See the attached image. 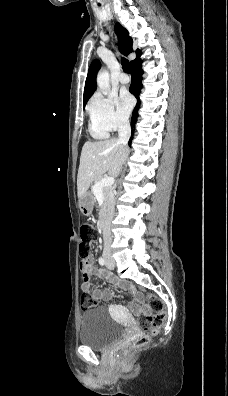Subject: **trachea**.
Returning a JSON list of instances; mask_svg holds the SVG:
<instances>
[{
    "instance_id": "obj_1",
    "label": "trachea",
    "mask_w": 228,
    "mask_h": 396,
    "mask_svg": "<svg viewBox=\"0 0 228 396\" xmlns=\"http://www.w3.org/2000/svg\"><path fill=\"white\" fill-rule=\"evenodd\" d=\"M121 63H122V68L126 73H131V67H130V63L127 59L122 58L121 59Z\"/></svg>"
}]
</instances>
